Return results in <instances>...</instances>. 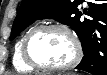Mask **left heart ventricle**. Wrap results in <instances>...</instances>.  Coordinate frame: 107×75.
<instances>
[{
    "label": "left heart ventricle",
    "mask_w": 107,
    "mask_h": 75,
    "mask_svg": "<svg viewBox=\"0 0 107 75\" xmlns=\"http://www.w3.org/2000/svg\"><path fill=\"white\" fill-rule=\"evenodd\" d=\"M29 52L39 63L51 66L64 65L74 56L71 40L55 30L36 34L29 44Z\"/></svg>",
    "instance_id": "left-heart-ventricle-1"
}]
</instances>
